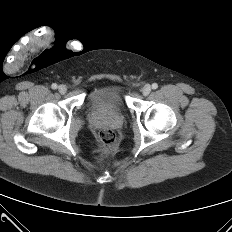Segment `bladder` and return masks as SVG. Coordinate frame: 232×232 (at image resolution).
<instances>
[{
	"instance_id": "31cf9c89",
	"label": "bladder",
	"mask_w": 232,
	"mask_h": 232,
	"mask_svg": "<svg viewBox=\"0 0 232 232\" xmlns=\"http://www.w3.org/2000/svg\"><path fill=\"white\" fill-rule=\"evenodd\" d=\"M88 105L94 110L122 111L126 107L123 88L118 83L103 84L89 94Z\"/></svg>"
}]
</instances>
